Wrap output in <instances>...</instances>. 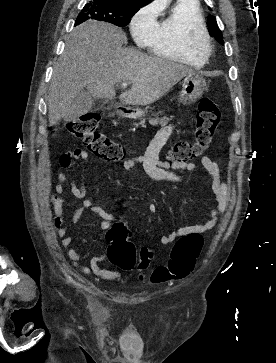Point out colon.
<instances>
[{
    "instance_id": "1",
    "label": "colon",
    "mask_w": 276,
    "mask_h": 363,
    "mask_svg": "<svg viewBox=\"0 0 276 363\" xmlns=\"http://www.w3.org/2000/svg\"><path fill=\"white\" fill-rule=\"evenodd\" d=\"M100 114L88 112L77 119L68 121L64 128L70 134L80 138L87 149L95 155L108 160L124 158L122 147L98 131ZM220 121V111L211 99H203L198 105L195 117L194 137L192 140H180L169 151V157L175 163H188L203 155L211 145ZM61 220L56 219L60 227ZM110 243L107 249L108 259L123 270L137 268L142 271L149 267L153 252L142 247L137 253L135 244L127 237V230L118 224L112 225L107 232ZM203 246L199 233L187 234L174 244L170 259L166 265L158 266L150 276L153 283L186 278L194 269L196 260ZM144 280V278H141Z\"/></svg>"
}]
</instances>
